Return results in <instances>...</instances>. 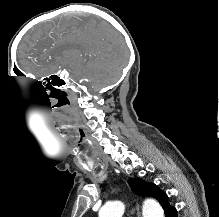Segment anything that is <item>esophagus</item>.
<instances>
[{"mask_svg":"<svg viewBox=\"0 0 219 217\" xmlns=\"http://www.w3.org/2000/svg\"><path fill=\"white\" fill-rule=\"evenodd\" d=\"M136 209H137V217H141L138 203H136Z\"/></svg>","mask_w":219,"mask_h":217,"instance_id":"obj_1","label":"esophagus"}]
</instances>
